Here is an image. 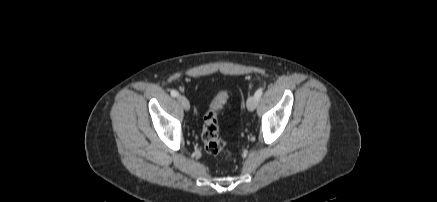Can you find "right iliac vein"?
Instances as JSON below:
<instances>
[{
    "label": "right iliac vein",
    "instance_id": "obj_1",
    "mask_svg": "<svg viewBox=\"0 0 437 202\" xmlns=\"http://www.w3.org/2000/svg\"><path fill=\"white\" fill-rule=\"evenodd\" d=\"M177 100L186 111L190 109L189 100L185 96L179 95Z\"/></svg>",
    "mask_w": 437,
    "mask_h": 202
}]
</instances>
